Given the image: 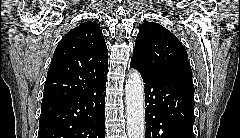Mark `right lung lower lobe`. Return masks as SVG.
I'll list each match as a JSON object with an SVG mask.
<instances>
[{
  "instance_id": "obj_1",
  "label": "right lung lower lobe",
  "mask_w": 240,
  "mask_h": 138,
  "mask_svg": "<svg viewBox=\"0 0 240 138\" xmlns=\"http://www.w3.org/2000/svg\"><path fill=\"white\" fill-rule=\"evenodd\" d=\"M106 80L88 92L42 105L38 138H105Z\"/></svg>"
}]
</instances>
